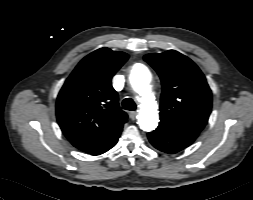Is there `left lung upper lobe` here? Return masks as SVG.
<instances>
[{"mask_svg": "<svg viewBox=\"0 0 253 200\" xmlns=\"http://www.w3.org/2000/svg\"><path fill=\"white\" fill-rule=\"evenodd\" d=\"M162 82L160 121L200 132L208 122L212 94L198 66L175 50L144 56Z\"/></svg>", "mask_w": 253, "mask_h": 200, "instance_id": "obj_1", "label": "left lung upper lobe"}]
</instances>
